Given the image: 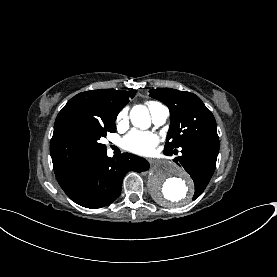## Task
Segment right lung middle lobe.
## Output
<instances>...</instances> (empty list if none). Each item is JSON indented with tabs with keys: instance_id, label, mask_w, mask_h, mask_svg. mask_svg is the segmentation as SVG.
I'll list each match as a JSON object with an SVG mask.
<instances>
[{
	"instance_id": "1",
	"label": "right lung middle lobe",
	"mask_w": 277,
	"mask_h": 277,
	"mask_svg": "<svg viewBox=\"0 0 277 277\" xmlns=\"http://www.w3.org/2000/svg\"><path fill=\"white\" fill-rule=\"evenodd\" d=\"M111 129L95 128L88 124H75L73 136L64 142L54 141L50 143V153L53 167L57 168L73 160L86 157L106 150V145L99 142L106 137L107 132H115Z\"/></svg>"
}]
</instances>
